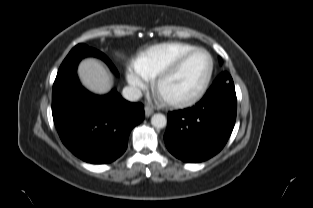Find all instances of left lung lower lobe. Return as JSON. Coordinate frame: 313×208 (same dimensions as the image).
<instances>
[{"label": "left lung lower lobe", "instance_id": "obj_1", "mask_svg": "<svg viewBox=\"0 0 313 208\" xmlns=\"http://www.w3.org/2000/svg\"><path fill=\"white\" fill-rule=\"evenodd\" d=\"M236 93L232 78L219 75L192 108L168 113L164 135L167 149L184 162L196 163L216 155L235 124Z\"/></svg>", "mask_w": 313, "mask_h": 208}]
</instances>
